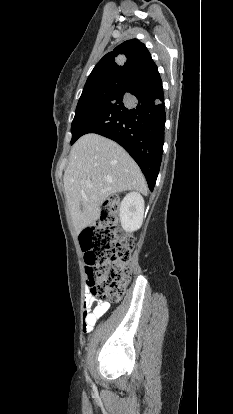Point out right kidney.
<instances>
[{
    "label": "right kidney",
    "mask_w": 233,
    "mask_h": 414,
    "mask_svg": "<svg viewBox=\"0 0 233 414\" xmlns=\"http://www.w3.org/2000/svg\"><path fill=\"white\" fill-rule=\"evenodd\" d=\"M144 199L138 192L128 193L120 205V222L126 232L138 230L143 222Z\"/></svg>",
    "instance_id": "obj_1"
}]
</instances>
